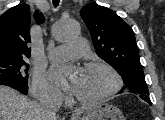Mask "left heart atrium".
Listing matches in <instances>:
<instances>
[{
	"label": "left heart atrium",
	"instance_id": "1",
	"mask_svg": "<svg viewBox=\"0 0 165 120\" xmlns=\"http://www.w3.org/2000/svg\"><path fill=\"white\" fill-rule=\"evenodd\" d=\"M70 75L69 79L66 80L65 76ZM82 74L81 69H69L65 71L53 70L52 77L62 85L66 90L75 92L78 82Z\"/></svg>",
	"mask_w": 165,
	"mask_h": 120
}]
</instances>
